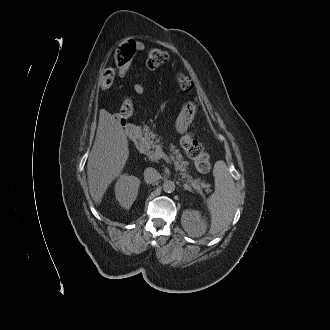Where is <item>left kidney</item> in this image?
<instances>
[{"label":"left kidney","mask_w":330,"mask_h":330,"mask_svg":"<svg viewBox=\"0 0 330 330\" xmlns=\"http://www.w3.org/2000/svg\"><path fill=\"white\" fill-rule=\"evenodd\" d=\"M183 229L192 237L202 236L207 229V222L197 210H186L181 217Z\"/></svg>","instance_id":"left-kidney-1"}]
</instances>
